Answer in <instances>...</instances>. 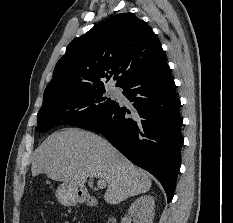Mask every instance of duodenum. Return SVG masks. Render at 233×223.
Wrapping results in <instances>:
<instances>
[{
	"label": "duodenum",
	"mask_w": 233,
	"mask_h": 223,
	"mask_svg": "<svg viewBox=\"0 0 233 223\" xmlns=\"http://www.w3.org/2000/svg\"><path fill=\"white\" fill-rule=\"evenodd\" d=\"M77 200L80 203H84L89 207H96L98 204L97 199L92 196L87 190L85 189H80L77 192ZM109 223H116V221L114 219H109Z\"/></svg>",
	"instance_id": "duodenum-1"
}]
</instances>
